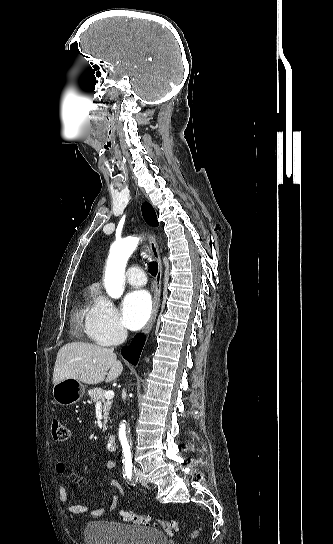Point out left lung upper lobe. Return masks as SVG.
<instances>
[{"instance_id": "left-lung-upper-lobe-1", "label": "left lung upper lobe", "mask_w": 333, "mask_h": 544, "mask_svg": "<svg viewBox=\"0 0 333 544\" xmlns=\"http://www.w3.org/2000/svg\"><path fill=\"white\" fill-rule=\"evenodd\" d=\"M142 213L149 225L158 226L157 216L149 203L145 202L142 204Z\"/></svg>"}]
</instances>
